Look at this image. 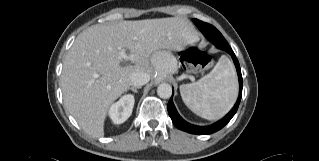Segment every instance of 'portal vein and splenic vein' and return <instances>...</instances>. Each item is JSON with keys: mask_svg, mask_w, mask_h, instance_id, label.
<instances>
[{"mask_svg": "<svg viewBox=\"0 0 319 161\" xmlns=\"http://www.w3.org/2000/svg\"><path fill=\"white\" fill-rule=\"evenodd\" d=\"M120 55H121V57L123 58V59H130V57H128L127 55H126V53H125V51L124 50H121L120 51Z\"/></svg>", "mask_w": 319, "mask_h": 161, "instance_id": "portal-vein-and-splenic-vein-1", "label": "portal vein and splenic vein"}]
</instances>
